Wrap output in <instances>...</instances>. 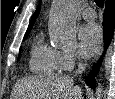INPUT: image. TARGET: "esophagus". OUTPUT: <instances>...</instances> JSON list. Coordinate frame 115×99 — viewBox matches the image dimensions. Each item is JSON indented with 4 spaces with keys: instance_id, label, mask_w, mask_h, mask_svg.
<instances>
[{
    "instance_id": "34e87169",
    "label": "esophagus",
    "mask_w": 115,
    "mask_h": 99,
    "mask_svg": "<svg viewBox=\"0 0 115 99\" xmlns=\"http://www.w3.org/2000/svg\"><path fill=\"white\" fill-rule=\"evenodd\" d=\"M102 51H103V47H102V48H101V50L98 52V54H97V56H96L95 60H97V59L100 57V55H101Z\"/></svg>"
}]
</instances>
